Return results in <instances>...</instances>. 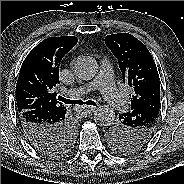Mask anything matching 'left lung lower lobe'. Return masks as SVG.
<instances>
[{
	"instance_id": "left-lung-lower-lobe-1",
	"label": "left lung lower lobe",
	"mask_w": 184,
	"mask_h": 184,
	"mask_svg": "<svg viewBox=\"0 0 184 184\" xmlns=\"http://www.w3.org/2000/svg\"><path fill=\"white\" fill-rule=\"evenodd\" d=\"M160 104V99H153L150 102L146 103L144 106L141 107V109H139L140 112V116L137 115V117H142L144 115H146L145 113L150 112L149 110H156L158 109L157 107H159ZM139 110L137 111L139 113ZM142 115V116H141Z\"/></svg>"
}]
</instances>
